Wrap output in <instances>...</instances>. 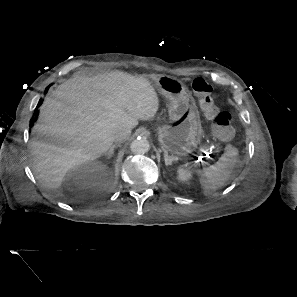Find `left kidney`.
<instances>
[{"mask_svg":"<svg viewBox=\"0 0 297 297\" xmlns=\"http://www.w3.org/2000/svg\"><path fill=\"white\" fill-rule=\"evenodd\" d=\"M191 173L188 169L179 168L178 169V178L180 181H187L190 179Z\"/></svg>","mask_w":297,"mask_h":297,"instance_id":"left-kidney-1","label":"left kidney"}]
</instances>
